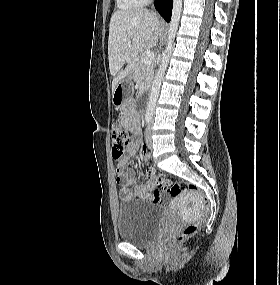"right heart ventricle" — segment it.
I'll list each match as a JSON object with an SVG mask.
<instances>
[{"mask_svg":"<svg viewBox=\"0 0 280 285\" xmlns=\"http://www.w3.org/2000/svg\"><path fill=\"white\" fill-rule=\"evenodd\" d=\"M148 0H116V5L123 11H131L142 7Z\"/></svg>","mask_w":280,"mask_h":285,"instance_id":"right-heart-ventricle-1","label":"right heart ventricle"}]
</instances>
